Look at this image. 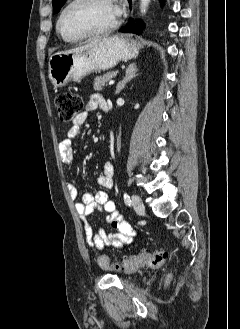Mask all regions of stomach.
<instances>
[{
  "label": "stomach",
  "mask_w": 240,
  "mask_h": 329,
  "mask_svg": "<svg viewBox=\"0 0 240 329\" xmlns=\"http://www.w3.org/2000/svg\"><path fill=\"white\" fill-rule=\"evenodd\" d=\"M140 44L124 36L107 37L79 53L54 54L49 59V79L55 87L79 82L94 71H105L138 55Z\"/></svg>",
  "instance_id": "stomach-1"
}]
</instances>
